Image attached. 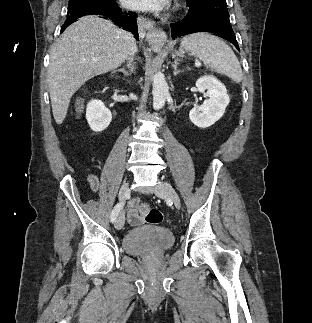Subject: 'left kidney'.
Returning a JSON list of instances; mask_svg holds the SVG:
<instances>
[{
    "instance_id": "left-kidney-1",
    "label": "left kidney",
    "mask_w": 312,
    "mask_h": 323,
    "mask_svg": "<svg viewBox=\"0 0 312 323\" xmlns=\"http://www.w3.org/2000/svg\"><path fill=\"white\" fill-rule=\"evenodd\" d=\"M198 92H205L209 100H205L202 106H195L189 112V118L198 128H209L222 118L225 108L230 100L224 84L216 80L214 76H202L196 82Z\"/></svg>"
}]
</instances>
